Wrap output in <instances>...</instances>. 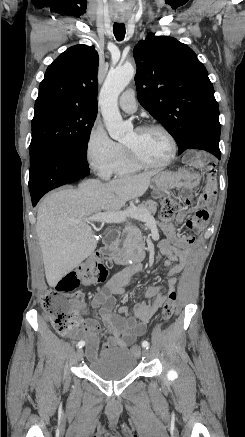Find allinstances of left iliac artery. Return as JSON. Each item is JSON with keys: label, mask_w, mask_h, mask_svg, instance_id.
Here are the masks:
<instances>
[{"label": "left iliac artery", "mask_w": 245, "mask_h": 437, "mask_svg": "<svg viewBox=\"0 0 245 437\" xmlns=\"http://www.w3.org/2000/svg\"><path fill=\"white\" fill-rule=\"evenodd\" d=\"M142 346H143L144 348L148 349V348H149V343H148V341H143V342H142Z\"/></svg>", "instance_id": "44dca946"}]
</instances>
